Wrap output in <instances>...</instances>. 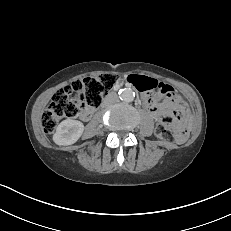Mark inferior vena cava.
Returning <instances> with one entry per match:
<instances>
[{
    "label": "inferior vena cava",
    "instance_id": "inferior-vena-cava-1",
    "mask_svg": "<svg viewBox=\"0 0 231 231\" xmlns=\"http://www.w3.org/2000/svg\"><path fill=\"white\" fill-rule=\"evenodd\" d=\"M117 101V95L114 94V93H111L108 95L107 99H106V102L108 104H112V103H115Z\"/></svg>",
    "mask_w": 231,
    "mask_h": 231
}]
</instances>
